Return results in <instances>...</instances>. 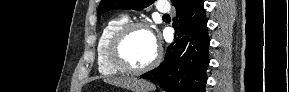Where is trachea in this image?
<instances>
[{"label": "trachea", "mask_w": 289, "mask_h": 92, "mask_svg": "<svg viewBox=\"0 0 289 92\" xmlns=\"http://www.w3.org/2000/svg\"><path fill=\"white\" fill-rule=\"evenodd\" d=\"M163 17H169V15L168 14H164Z\"/></svg>", "instance_id": "obj_1"}]
</instances>
